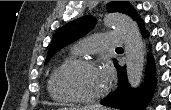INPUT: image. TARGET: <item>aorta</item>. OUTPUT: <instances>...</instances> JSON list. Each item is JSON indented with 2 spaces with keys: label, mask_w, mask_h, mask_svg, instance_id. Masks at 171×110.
I'll return each mask as SVG.
<instances>
[{
  "label": "aorta",
  "mask_w": 171,
  "mask_h": 110,
  "mask_svg": "<svg viewBox=\"0 0 171 110\" xmlns=\"http://www.w3.org/2000/svg\"><path fill=\"white\" fill-rule=\"evenodd\" d=\"M103 24L121 35L125 46L128 83L132 88H137L142 80L145 54L138 25L129 16L118 13L105 16Z\"/></svg>",
  "instance_id": "aorta-1"
}]
</instances>
